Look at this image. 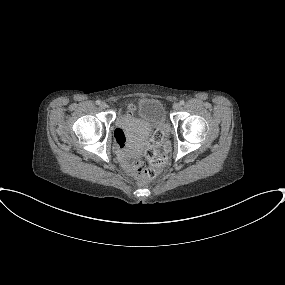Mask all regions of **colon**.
Instances as JSON below:
<instances>
[{
    "label": "colon",
    "mask_w": 285,
    "mask_h": 285,
    "mask_svg": "<svg viewBox=\"0 0 285 285\" xmlns=\"http://www.w3.org/2000/svg\"><path fill=\"white\" fill-rule=\"evenodd\" d=\"M164 135L161 131L155 130L152 139L148 142L144 152L145 158L150 164V168L144 166L142 162H136L132 168L136 171V178L139 183H145L153 179L158 169L165 166L167 157L157 150V145L163 140Z\"/></svg>",
    "instance_id": "1"
}]
</instances>
